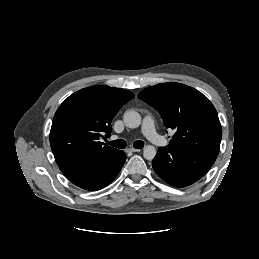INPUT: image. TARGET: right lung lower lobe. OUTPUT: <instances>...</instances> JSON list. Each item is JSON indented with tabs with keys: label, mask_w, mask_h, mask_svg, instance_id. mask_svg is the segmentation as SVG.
Wrapping results in <instances>:
<instances>
[{
	"label": "right lung lower lobe",
	"mask_w": 259,
	"mask_h": 259,
	"mask_svg": "<svg viewBox=\"0 0 259 259\" xmlns=\"http://www.w3.org/2000/svg\"><path fill=\"white\" fill-rule=\"evenodd\" d=\"M126 160L124 151L95 159L76 167H65L60 170L76 186L96 191L110 184L120 172Z\"/></svg>",
	"instance_id": "1"
}]
</instances>
